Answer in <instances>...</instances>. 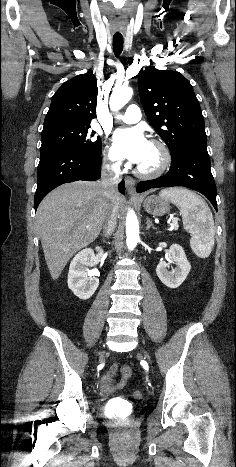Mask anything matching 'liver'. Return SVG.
Returning a JSON list of instances; mask_svg holds the SVG:
<instances>
[{"label":"liver","instance_id":"6515ba94","mask_svg":"<svg viewBox=\"0 0 236 467\" xmlns=\"http://www.w3.org/2000/svg\"><path fill=\"white\" fill-rule=\"evenodd\" d=\"M120 209V196L111 201L101 182L63 184L40 203L36 223L45 260L53 280L59 278L69 259L99 235L108 206Z\"/></svg>","mask_w":236,"mask_h":467}]
</instances>
